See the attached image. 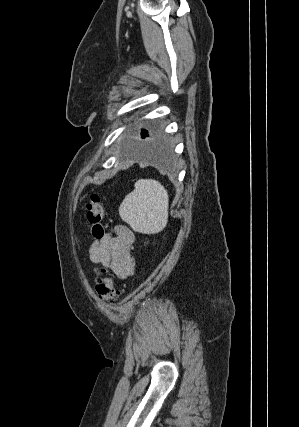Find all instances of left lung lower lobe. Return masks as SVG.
<instances>
[{
  "instance_id": "left-lung-lower-lobe-1",
  "label": "left lung lower lobe",
  "mask_w": 299,
  "mask_h": 427,
  "mask_svg": "<svg viewBox=\"0 0 299 427\" xmlns=\"http://www.w3.org/2000/svg\"><path fill=\"white\" fill-rule=\"evenodd\" d=\"M147 137H150L151 140L140 150V158L153 164L169 166L171 162L166 142L160 137L159 134L154 132L148 134Z\"/></svg>"
}]
</instances>
